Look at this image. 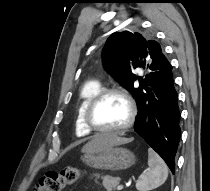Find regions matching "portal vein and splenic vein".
<instances>
[{
    "mask_svg": "<svg viewBox=\"0 0 210 191\" xmlns=\"http://www.w3.org/2000/svg\"><path fill=\"white\" fill-rule=\"evenodd\" d=\"M117 190H118V191L123 190V185L117 186Z\"/></svg>",
    "mask_w": 210,
    "mask_h": 191,
    "instance_id": "portal-vein-and-splenic-vein-1",
    "label": "portal vein and splenic vein"
}]
</instances>
